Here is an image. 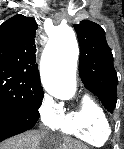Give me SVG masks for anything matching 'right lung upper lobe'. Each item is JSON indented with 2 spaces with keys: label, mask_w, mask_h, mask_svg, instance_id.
Listing matches in <instances>:
<instances>
[{
  "label": "right lung upper lobe",
  "mask_w": 124,
  "mask_h": 149,
  "mask_svg": "<svg viewBox=\"0 0 124 149\" xmlns=\"http://www.w3.org/2000/svg\"><path fill=\"white\" fill-rule=\"evenodd\" d=\"M36 29L35 19L21 14L0 26V68L20 73L42 87L36 63Z\"/></svg>",
  "instance_id": "1"
}]
</instances>
